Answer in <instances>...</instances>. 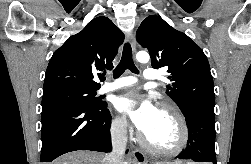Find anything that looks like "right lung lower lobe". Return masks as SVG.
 Wrapping results in <instances>:
<instances>
[{
    "instance_id": "right-lung-lower-lobe-1",
    "label": "right lung lower lobe",
    "mask_w": 251,
    "mask_h": 164,
    "mask_svg": "<svg viewBox=\"0 0 251 164\" xmlns=\"http://www.w3.org/2000/svg\"><path fill=\"white\" fill-rule=\"evenodd\" d=\"M41 122V162L76 150H112L111 115L106 102L99 107L48 105L42 109Z\"/></svg>"
}]
</instances>
